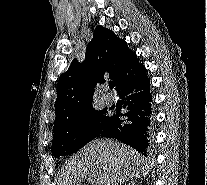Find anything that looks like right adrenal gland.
Listing matches in <instances>:
<instances>
[{
  "label": "right adrenal gland",
  "mask_w": 207,
  "mask_h": 185,
  "mask_svg": "<svg viewBox=\"0 0 207 185\" xmlns=\"http://www.w3.org/2000/svg\"><path fill=\"white\" fill-rule=\"evenodd\" d=\"M120 185H135V181H129V179H124Z\"/></svg>",
  "instance_id": "right-adrenal-gland-1"
}]
</instances>
